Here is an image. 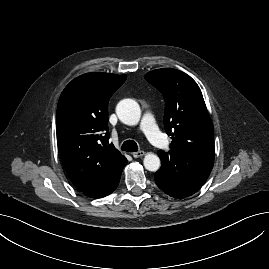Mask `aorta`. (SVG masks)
I'll list each match as a JSON object with an SVG mask.
<instances>
[{"instance_id": "1", "label": "aorta", "mask_w": 269, "mask_h": 269, "mask_svg": "<svg viewBox=\"0 0 269 269\" xmlns=\"http://www.w3.org/2000/svg\"><path fill=\"white\" fill-rule=\"evenodd\" d=\"M118 118L126 125H136L141 116L139 104L132 99L121 100L116 107ZM144 167L148 171L155 172L160 168L159 157L153 153H147L143 160Z\"/></svg>"}]
</instances>
